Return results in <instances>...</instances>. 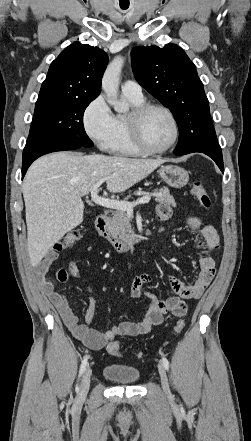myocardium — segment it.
<instances>
[{
    "label": "myocardium",
    "instance_id": "myocardium-1",
    "mask_svg": "<svg viewBox=\"0 0 251 441\" xmlns=\"http://www.w3.org/2000/svg\"><path fill=\"white\" fill-rule=\"evenodd\" d=\"M161 110L168 115L173 125V138L171 142L163 148H152L150 147L143 136L142 132V122L144 117L151 110ZM127 123L129 127V132L133 143L136 147L143 153L148 154H163L172 149L178 141L179 138V125L174 113L166 106L158 103H144L137 107H134L130 114L127 116Z\"/></svg>",
    "mask_w": 251,
    "mask_h": 441
}]
</instances>
